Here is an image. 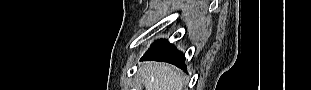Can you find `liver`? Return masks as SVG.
<instances>
[{
    "label": "liver",
    "mask_w": 311,
    "mask_h": 90,
    "mask_svg": "<svg viewBox=\"0 0 311 90\" xmlns=\"http://www.w3.org/2000/svg\"><path fill=\"white\" fill-rule=\"evenodd\" d=\"M146 90H182L184 82L171 65L146 63L139 70Z\"/></svg>",
    "instance_id": "1"
}]
</instances>
